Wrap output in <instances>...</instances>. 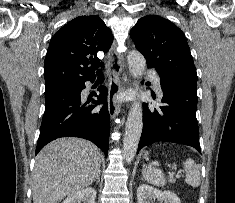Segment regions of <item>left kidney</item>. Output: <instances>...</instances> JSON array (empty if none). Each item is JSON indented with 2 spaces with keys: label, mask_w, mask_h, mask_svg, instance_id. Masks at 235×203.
<instances>
[{
  "label": "left kidney",
  "mask_w": 235,
  "mask_h": 203,
  "mask_svg": "<svg viewBox=\"0 0 235 203\" xmlns=\"http://www.w3.org/2000/svg\"><path fill=\"white\" fill-rule=\"evenodd\" d=\"M181 203L178 196L171 191H161L147 184H141L137 189V203Z\"/></svg>",
  "instance_id": "obj_1"
}]
</instances>
